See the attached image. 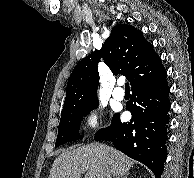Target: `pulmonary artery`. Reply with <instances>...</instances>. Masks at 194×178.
I'll return each mask as SVG.
<instances>
[{"mask_svg":"<svg viewBox=\"0 0 194 178\" xmlns=\"http://www.w3.org/2000/svg\"><path fill=\"white\" fill-rule=\"evenodd\" d=\"M121 85L122 83H119V87L115 88L112 93L113 98L117 101H122L124 99V91L120 87Z\"/></svg>","mask_w":194,"mask_h":178,"instance_id":"pulmonary-artery-1","label":"pulmonary artery"}]
</instances>
